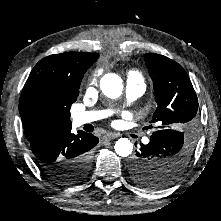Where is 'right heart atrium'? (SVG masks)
Returning <instances> with one entry per match:
<instances>
[{"instance_id": "right-heart-atrium-1", "label": "right heart atrium", "mask_w": 221, "mask_h": 221, "mask_svg": "<svg viewBox=\"0 0 221 221\" xmlns=\"http://www.w3.org/2000/svg\"><path fill=\"white\" fill-rule=\"evenodd\" d=\"M96 83V76H92L89 80V84H88V87L89 88H92Z\"/></svg>"}]
</instances>
